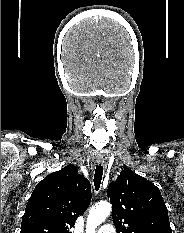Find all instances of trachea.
Wrapping results in <instances>:
<instances>
[{"label": "trachea", "mask_w": 184, "mask_h": 233, "mask_svg": "<svg viewBox=\"0 0 184 233\" xmlns=\"http://www.w3.org/2000/svg\"><path fill=\"white\" fill-rule=\"evenodd\" d=\"M102 175H103V166H101V165L96 166L94 179H93L96 191L99 190V188H100Z\"/></svg>", "instance_id": "3493384b"}]
</instances>
